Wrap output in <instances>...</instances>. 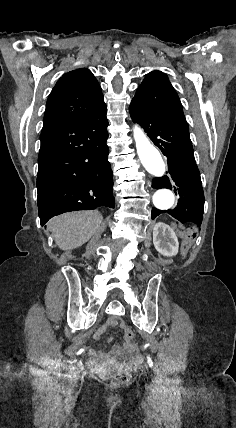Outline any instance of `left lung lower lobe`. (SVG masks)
<instances>
[{
  "mask_svg": "<svg viewBox=\"0 0 236 428\" xmlns=\"http://www.w3.org/2000/svg\"><path fill=\"white\" fill-rule=\"evenodd\" d=\"M129 112L133 121L144 128L150 139L168 158L169 173L154 178L153 188L171 189L180 196L179 203L173 210L152 208V219L161 213H168L181 223L191 222L200 229L205 198L186 120L174 116L154 115L131 107Z\"/></svg>",
  "mask_w": 236,
  "mask_h": 428,
  "instance_id": "1",
  "label": "left lung lower lobe"
}]
</instances>
